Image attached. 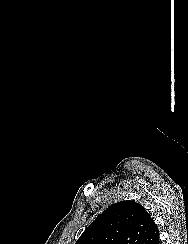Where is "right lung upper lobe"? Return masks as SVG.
Masks as SVG:
<instances>
[{
	"label": "right lung upper lobe",
	"mask_w": 188,
	"mask_h": 244,
	"mask_svg": "<svg viewBox=\"0 0 188 244\" xmlns=\"http://www.w3.org/2000/svg\"><path fill=\"white\" fill-rule=\"evenodd\" d=\"M159 234L153 218L134 201L109 206L75 244H149Z\"/></svg>",
	"instance_id": "right-lung-upper-lobe-1"
}]
</instances>
